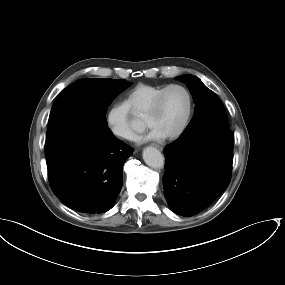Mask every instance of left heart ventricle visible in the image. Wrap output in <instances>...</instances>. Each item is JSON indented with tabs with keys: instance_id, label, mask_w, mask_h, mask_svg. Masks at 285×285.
<instances>
[{
	"instance_id": "b2bd125f",
	"label": "left heart ventricle",
	"mask_w": 285,
	"mask_h": 285,
	"mask_svg": "<svg viewBox=\"0 0 285 285\" xmlns=\"http://www.w3.org/2000/svg\"><path fill=\"white\" fill-rule=\"evenodd\" d=\"M187 109V96L180 88L169 89L159 110L143 118V122L160 136L174 132L184 118Z\"/></svg>"
}]
</instances>
